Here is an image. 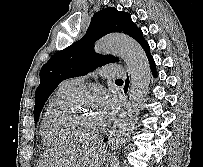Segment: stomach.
<instances>
[{
	"label": "stomach",
	"mask_w": 203,
	"mask_h": 167,
	"mask_svg": "<svg viewBox=\"0 0 203 167\" xmlns=\"http://www.w3.org/2000/svg\"><path fill=\"white\" fill-rule=\"evenodd\" d=\"M107 160V155L101 149L96 147L86 167H103V164Z\"/></svg>",
	"instance_id": "stomach-1"
}]
</instances>
